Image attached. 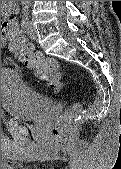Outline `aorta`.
<instances>
[{
    "label": "aorta",
    "mask_w": 121,
    "mask_h": 169,
    "mask_svg": "<svg viewBox=\"0 0 121 169\" xmlns=\"http://www.w3.org/2000/svg\"><path fill=\"white\" fill-rule=\"evenodd\" d=\"M21 2H22V3H28V4H29L31 1H21Z\"/></svg>",
    "instance_id": "762f6f07"
}]
</instances>
